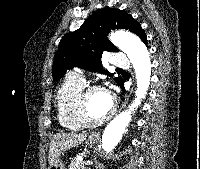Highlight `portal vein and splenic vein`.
<instances>
[{
  "label": "portal vein and splenic vein",
  "mask_w": 200,
  "mask_h": 169,
  "mask_svg": "<svg viewBox=\"0 0 200 169\" xmlns=\"http://www.w3.org/2000/svg\"><path fill=\"white\" fill-rule=\"evenodd\" d=\"M85 164L86 165H91V164H93V162L87 161Z\"/></svg>",
  "instance_id": "1"
}]
</instances>
